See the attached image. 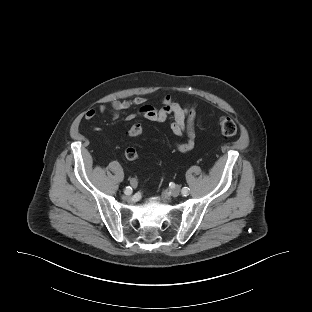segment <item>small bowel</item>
Listing matches in <instances>:
<instances>
[{
    "mask_svg": "<svg viewBox=\"0 0 312 312\" xmlns=\"http://www.w3.org/2000/svg\"><path fill=\"white\" fill-rule=\"evenodd\" d=\"M138 108L135 113L126 117V121H133L142 117L152 122H164L171 118V131L176 136H186L184 142L177 143V148L181 152L190 151L195 144L194 119L196 114V105L191 104L181 106L171 95H165L161 99V106L154 107L147 103L145 97H134L132 99L114 100L109 105H103L99 108L101 113L108 112L113 119H117L122 111ZM97 112L94 109H88L84 113L86 120H92Z\"/></svg>",
    "mask_w": 312,
    "mask_h": 312,
    "instance_id": "1",
    "label": "small bowel"
}]
</instances>
